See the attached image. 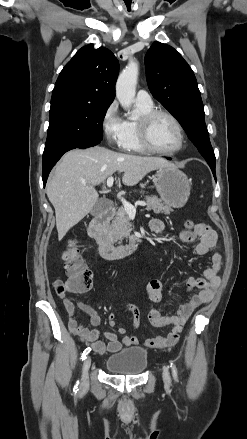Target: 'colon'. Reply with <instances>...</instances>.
<instances>
[{"instance_id":"5ec220e1","label":"colon","mask_w":247,"mask_h":439,"mask_svg":"<svg viewBox=\"0 0 247 439\" xmlns=\"http://www.w3.org/2000/svg\"><path fill=\"white\" fill-rule=\"evenodd\" d=\"M195 224L191 220L185 222L187 229L195 228ZM65 264L66 274L70 279V288L74 292H86L92 287V273L84 265L80 256L75 240H71L62 256Z\"/></svg>"}]
</instances>
